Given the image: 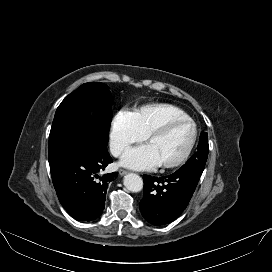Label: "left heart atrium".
I'll list each match as a JSON object with an SVG mask.
<instances>
[{"label":"left heart atrium","instance_id":"39dd6f15","mask_svg":"<svg viewBox=\"0 0 272 272\" xmlns=\"http://www.w3.org/2000/svg\"><path fill=\"white\" fill-rule=\"evenodd\" d=\"M121 164L131 169L146 170L160 163L153 149L145 144L127 151L121 159Z\"/></svg>","mask_w":272,"mask_h":272}]
</instances>
